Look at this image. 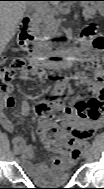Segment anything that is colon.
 I'll list each match as a JSON object with an SVG mask.
<instances>
[{
  "mask_svg": "<svg viewBox=\"0 0 104 189\" xmlns=\"http://www.w3.org/2000/svg\"><path fill=\"white\" fill-rule=\"evenodd\" d=\"M83 40L92 45L97 52L104 50V36L97 33L94 26L87 27L83 32ZM26 66V62L21 57H15L5 59L2 67L1 79H0V95L1 104L12 106L14 100L10 95L11 82L14 79L16 72L23 69ZM93 70L97 77V80L102 79L101 64L98 59L93 62ZM87 115L100 116L103 113V103L99 100H91L85 105ZM70 106H40L37 112L41 116V120L48 121L50 124L40 130L43 141L52 147L63 148L65 147V139L57 136V127L52 123V120L57 115H63L69 113ZM94 134V133H93Z\"/></svg>",
  "mask_w": 104,
  "mask_h": 189,
  "instance_id": "colon-1",
  "label": "colon"
}]
</instances>
